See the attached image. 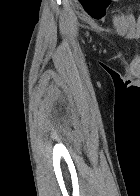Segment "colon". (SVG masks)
Listing matches in <instances>:
<instances>
[{
	"mask_svg": "<svg viewBox=\"0 0 140 196\" xmlns=\"http://www.w3.org/2000/svg\"><path fill=\"white\" fill-rule=\"evenodd\" d=\"M81 1V3L83 4V5H85V2H86V0H80ZM104 4H107V2H109V0H104V1H102Z\"/></svg>",
	"mask_w": 140,
	"mask_h": 196,
	"instance_id": "colon-1",
	"label": "colon"
}]
</instances>
